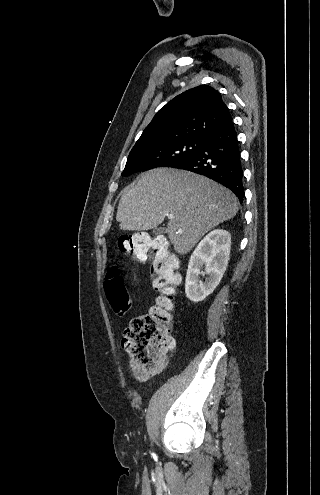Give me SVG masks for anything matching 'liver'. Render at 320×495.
<instances>
[{
	"label": "liver",
	"instance_id": "liver-1",
	"mask_svg": "<svg viewBox=\"0 0 320 495\" xmlns=\"http://www.w3.org/2000/svg\"><path fill=\"white\" fill-rule=\"evenodd\" d=\"M238 212L236 196L222 185L173 168L142 175L122 192L116 220L122 231H147L172 214L167 225L177 253H188L212 228Z\"/></svg>",
	"mask_w": 320,
	"mask_h": 495
}]
</instances>
